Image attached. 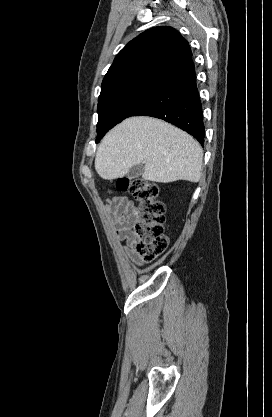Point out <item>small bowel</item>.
<instances>
[{"mask_svg": "<svg viewBox=\"0 0 272 417\" xmlns=\"http://www.w3.org/2000/svg\"><path fill=\"white\" fill-rule=\"evenodd\" d=\"M105 213L113 224L117 238L126 241L122 246L123 255L136 265L143 262L142 257L135 248V239L131 231L134 221L136 206L126 197L113 196L106 201Z\"/></svg>", "mask_w": 272, "mask_h": 417, "instance_id": "c3829d8e", "label": "small bowel"}]
</instances>
